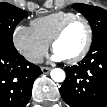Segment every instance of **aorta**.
Segmentation results:
<instances>
[{
	"label": "aorta",
	"mask_w": 107,
	"mask_h": 107,
	"mask_svg": "<svg viewBox=\"0 0 107 107\" xmlns=\"http://www.w3.org/2000/svg\"><path fill=\"white\" fill-rule=\"evenodd\" d=\"M50 76L55 82H63L65 80V72L60 68L52 69Z\"/></svg>",
	"instance_id": "aorta-1"
}]
</instances>
